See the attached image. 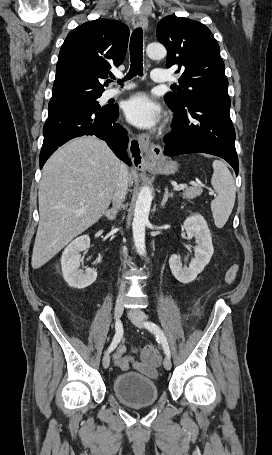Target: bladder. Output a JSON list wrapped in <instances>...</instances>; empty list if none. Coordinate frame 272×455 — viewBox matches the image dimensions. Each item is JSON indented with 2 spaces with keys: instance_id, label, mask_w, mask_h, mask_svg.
Instances as JSON below:
<instances>
[{
  "instance_id": "bladder-1",
  "label": "bladder",
  "mask_w": 272,
  "mask_h": 455,
  "mask_svg": "<svg viewBox=\"0 0 272 455\" xmlns=\"http://www.w3.org/2000/svg\"><path fill=\"white\" fill-rule=\"evenodd\" d=\"M113 392L123 404L130 407L154 404L159 396L156 382L137 372L118 375L113 382Z\"/></svg>"
}]
</instances>
